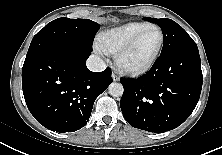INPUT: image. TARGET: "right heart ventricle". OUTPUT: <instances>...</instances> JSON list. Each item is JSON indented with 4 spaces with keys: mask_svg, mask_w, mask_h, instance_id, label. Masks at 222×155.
<instances>
[{
    "mask_svg": "<svg viewBox=\"0 0 222 155\" xmlns=\"http://www.w3.org/2000/svg\"><path fill=\"white\" fill-rule=\"evenodd\" d=\"M152 25L148 22H129L106 30L99 35V47L106 53L116 54L133 37Z\"/></svg>",
    "mask_w": 222,
    "mask_h": 155,
    "instance_id": "right-heart-ventricle-1",
    "label": "right heart ventricle"
}]
</instances>
